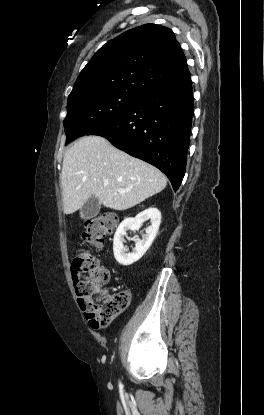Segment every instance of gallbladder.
<instances>
[{
    "label": "gallbladder",
    "instance_id": "1",
    "mask_svg": "<svg viewBox=\"0 0 264 415\" xmlns=\"http://www.w3.org/2000/svg\"><path fill=\"white\" fill-rule=\"evenodd\" d=\"M100 208H101V203L96 197L92 196L81 207L80 216L83 219L93 218L97 216V214L100 211Z\"/></svg>",
    "mask_w": 264,
    "mask_h": 415
}]
</instances>
